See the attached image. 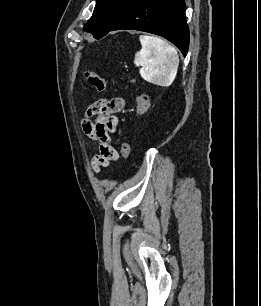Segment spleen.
Here are the masks:
<instances>
[{
  "label": "spleen",
  "mask_w": 261,
  "mask_h": 306,
  "mask_svg": "<svg viewBox=\"0 0 261 306\" xmlns=\"http://www.w3.org/2000/svg\"><path fill=\"white\" fill-rule=\"evenodd\" d=\"M141 50L135 54L134 64L141 66V77L155 85L168 87L176 78L179 56L168 42L155 37L140 36Z\"/></svg>",
  "instance_id": "3e777b00"
}]
</instances>
